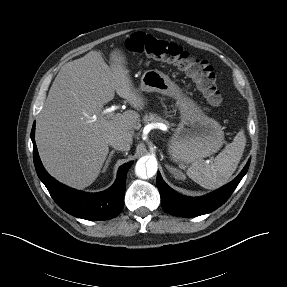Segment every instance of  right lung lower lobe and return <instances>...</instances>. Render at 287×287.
Returning a JSON list of instances; mask_svg holds the SVG:
<instances>
[{
  "label": "right lung lower lobe",
  "instance_id": "98d812e1",
  "mask_svg": "<svg viewBox=\"0 0 287 287\" xmlns=\"http://www.w3.org/2000/svg\"><path fill=\"white\" fill-rule=\"evenodd\" d=\"M35 124L31 131L33 160L40 180L51 197L67 213L86 220H107L116 217L123 209L126 174L132 161L119 168L117 179L112 187L100 193H86L69 188L52 178L44 169L34 139Z\"/></svg>",
  "mask_w": 287,
  "mask_h": 287
}]
</instances>
